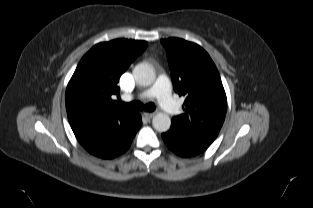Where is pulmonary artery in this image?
<instances>
[{"instance_id":"pulmonary-artery-1","label":"pulmonary artery","mask_w":313,"mask_h":208,"mask_svg":"<svg viewBox=\"0 0 313 208\" xmlns=\"http://www.w3.org/2000/svg\"><path fill=\"white\" fill-rule=\"evenodd\" d=\"M156 97L159 105L169 115H176L178 113V105L171 96V86L167 77L159 76L155 84L147 90L138 93L137 98L140 100H147ZM133 96H128L127 99H132Z\"/></svg>"}]
</instances>
